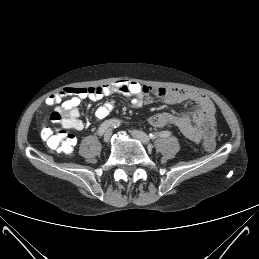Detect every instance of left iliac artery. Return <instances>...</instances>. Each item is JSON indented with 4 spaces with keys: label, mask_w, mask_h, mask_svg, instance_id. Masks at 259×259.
Listing matches in <instances>:
<instances>
[{
    "label": "left iliac artery",
    "mask_w": 259,
    "mask_h": 259,
    "mask_svg": "<svg viewBox=\"0 0 259 259\" xmlns=\"http://www.w3.org/2000/svg\"><path fill=\"white\" fill-rule=\"evenodd\" d=\"M162 138L169 137L171 135L170 131H161L159 132Z\"/></svg>",
    "instance_id": "obj_1"
}]
</instances>
